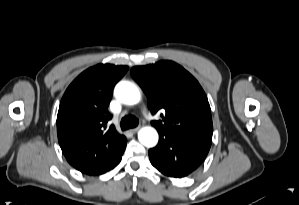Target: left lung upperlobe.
<instances>
[{"instance_id":"left-lung-upper-lobe-1","label":"left lung upper lobe","mask_w":299,"mask_h":205,"mask_svg":"<svg viewBox=\"0 0 299 205\" xmlns=\"http://www.w3.org/2000/svg\"><path fill=\"white\" fill-rule=\"evenodd\" d=\"M133 79L148 99L152 114L159 110L162 121H153L159 134H185L212 139L211 109L198 81L172 61L136 66Z\"/></svg>"}]
</instances>
